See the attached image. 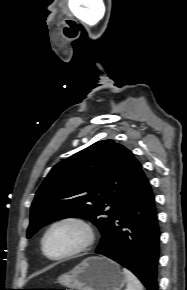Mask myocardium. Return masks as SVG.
I'll return each mask as SVG.
<instances>
[{"label": "myocardium", "instance_id": "obj_1", "mask_svg": "<svg viewBox=\"0 0 187 290\" xmlns=\"http://www.w3.org/2000/svg\"><path fill=\"white\" fill-rule=\"evenodd\" d=\"M61 225H73L81 230L83 233V241L81 244L76 247L75 249L64 253L59 256H51L47 253L46 251V240L50 233L57 227ZM95 241V231L93 226L90 224L88 220L81 216H76V215H70V216H65L62 218H59L55 221H53L48 228L45 230L42 239H41V249L43 254L50 260L54 261H60V260H65L72 258L74 256H77L85 251H87Z\"/></svg>", "mask_w": 187, "mask_h": 290}]
</instances>
